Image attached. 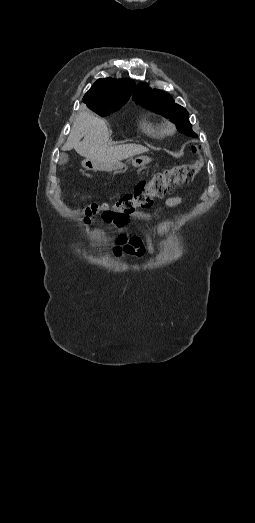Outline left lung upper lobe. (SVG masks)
Here are the masks:
<instances>
[{
	"mask_svg": "<svg viewBox=\"0 0 255 523\" xmlns=\"http://www.w3.org/2000/svg\"><path fill=\"white\" fill-rule=\"evenodd\" d=\"M133 99L137 104L170 119L181 133L187 136H196L192 131L186 109L174 103L172 97L164 91L152 89L147 83H139L133 94Z\"/></svg>",
	"mask_w": 255,
	"mask_h": 523,
	"instance_id": "5c2ea615",
	"label": "left lung upper lobe"
}]
</instances>
